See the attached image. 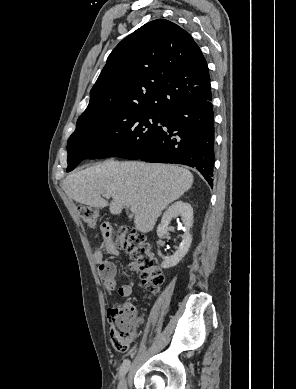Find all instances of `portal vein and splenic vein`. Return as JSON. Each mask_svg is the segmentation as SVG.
Segmentation results:
<instances>
[{
  "mask_svg": "<svg viewBox=\"0 0 296 389\" xmlns=\"http://www.w3.org/2000/svg\"><path fill=\"white\" fill-rule=\"evenodd\" d=\"M104 197H106V198H110V196L109 195H104ZM130 210H131V212L134 214L135 212H136V208L135 207H131L130 208Z\"/></svg>",
  "mask_w": 296,
  "mask_h": 389,
  "instance_id": "portal-vein-and-splenic-vein-1",
  "label": "portal vein and splenic vein"
}]
</instances>
